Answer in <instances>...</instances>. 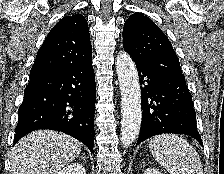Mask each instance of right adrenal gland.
<instances>
[{
    "label": "right adrenal gland",
    "mask_w": 224,
    "mask_h": 174,
    "mask_svg": "<svg viewBox=\"0 0 224 174\" xmlns=\"http://www.w3.org/2000/svg\"><path fill=\"white\" fill-rule=\"evenodd\" d=\"M79 158L83 161L85 160V158L83 156H79Z\"/></svg>",
    "instance_id": "1"
}]
</instances>
